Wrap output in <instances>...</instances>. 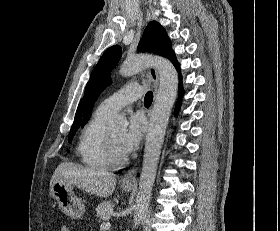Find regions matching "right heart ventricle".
Wrapping results in <instances>:
<instances>
[{
	"label": "right heart ventricle",
	"instance_id": "obj_1",
	"mask_svg": "<svg viewBox=\"0 0 280 231\" xmlns=\"http://www.w3.org/2000/svg\"><path fill=\"white\" fill-rule=\"evenodd\" d=\"M110 115L96 110L79 134L75 152L80 163L87 168L106 169L110 164L104 147V136L107 131L105 122Z\"/></svg>",
	"mask_w": 280,
	"mask_h": 231
}]
</instances>
